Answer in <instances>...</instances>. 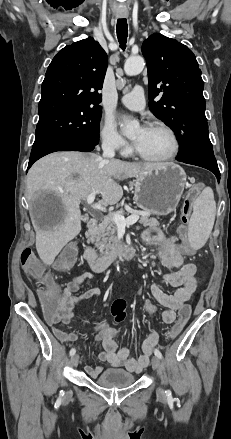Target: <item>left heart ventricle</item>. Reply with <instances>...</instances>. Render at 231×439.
Here are the masks:
<instances>
[{
  "label": "left heart ventricle",
  "mask_w": 231,
  "mask_h": 439,
  "mask_svg": "<svg viewBox=\"0 0 231 439\" xmlns=\"http://www.w3.org/2000/svg\"><path fill=\"white\" fill-rule=\"evenodd\" d=\"M136 148L144 155L161 157L171 150L169 136L160 129L147 128L139 130L134 135Z\"/></svg>",
  "instance_id": "obj_1"
}]
</instances>
